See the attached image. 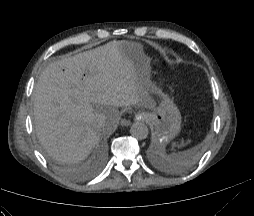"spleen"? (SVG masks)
<instances>
[{
	"mask_svg": "<svg viewBox=\"0 0 254 216\" xmlns=\"http://www.w3.org/2000/svg\"><path fill=\"white\" fill-rule=\"evenodd\" d=\"M164 158H166L168 161H173L175 159V154L167 155L165 153H161Z\"/></svg>",
	"mask_w": 254,
	"mask_h": 216,
	"instance_id": "spleen-1",
	"label": "spleen"
}]
</instances>
